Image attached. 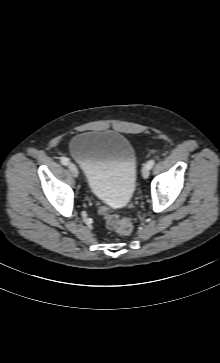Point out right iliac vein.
Instances as JSON below:
<instances>
[{"label": "right iliac vein", "mask_w": 220, "mask_h": 363, "mask_svg": "<svg viewBox=\"0 0 220 363\" xmlns=\"http://www.w3.org/2000/svg\"><path fill=\"white\" fill-rule=\"evenodd\" d=\"M68 168L72 175L76 178L79 175L78 169L74 163H69Z\"/></svg>", "instance_id": "right-iliac-vein-1"}]
</instances>
